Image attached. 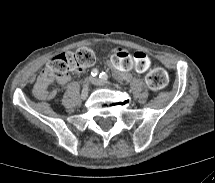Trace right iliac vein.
Returning <instances> with one entry per match:
<instances>
[{"instance_id":"1","label":"right iliac vein","mask_w":215,"mask_h":183,"mask_svg":"<svg viewBox=\"0 0 215 183\" xmlns=\"http://www.w3.org/2000/svg\"><path fill=\"white\" fill-rule=\"evenodd\" d=\"M88 92H89V86H88V82H86L81 92V98L83 100H85L88 97Z\"/></svg>"}]
</instances>
